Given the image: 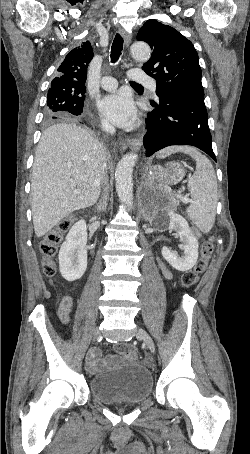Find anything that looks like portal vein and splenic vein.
<instances>
[{"label":"portal vein and splenic vein","instance_id":"obj_1","mask_svg":"<svg viewBox=\"0 0 250 454\" xmlns=\"http://www.w3.org/2000/svg\"><path fill=\"white\" fill-rule=\"evenodd\" d=\"M75 193H79V190H75ZM177 197L184 203H189L190 202V199L187 196L178 195Z\"/></svg>","mask_w":250,"mask_h":454}]
</instances>
